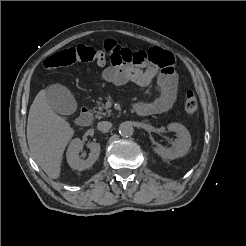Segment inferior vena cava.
I'll return each instance as SVG.
<instances>
[{
  "mask_svg": "<svg viewBox=\"0 0 246 246\" xmlns=\"http://www.w3.org/2000/svg\"><path fill=\"white\" fill-rule=\"evenodd\" d=\"M112 127V123L108 121H101L97 124V129L103 132H107Z\"/></svg>",
  "mask_w": 246,
  "mask_h": 246,
  "instance_id": "602c4592",
  "label": "inferior vena cava"
}]
</instances>
